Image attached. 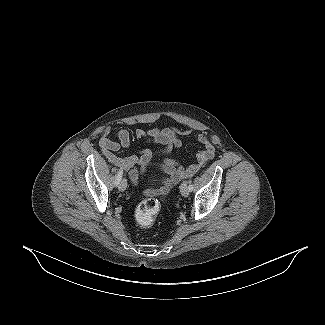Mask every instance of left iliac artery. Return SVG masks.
<instances>
[{
	"label": "left iliac artery",
	"mask_w": 325,
	"mask_h": 325,
	"mask_svg": "<svg viewBox=\"0 0 325 325\" xmlns=\"http://www.w3.org/2000/svg\"><path fill=\"white\" fill-rule=\"evenodd\" d=\"M188 188H189V191H192L193 190V185H192V182L191 181L189 182Z\"/></svg>",
	"instance_id": "obj_1"
}]
</instances>
